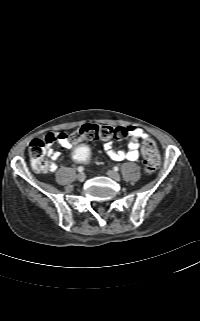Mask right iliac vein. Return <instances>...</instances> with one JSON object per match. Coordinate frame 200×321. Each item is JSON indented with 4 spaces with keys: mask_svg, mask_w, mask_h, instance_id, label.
Listing matches in <instances>:
<instances>
[{
    "mask_svg": "<svg viewBox=\"0 0 200 321\" xmlns=\"http://www.w3.org/2000/svg\"><path fill=\"white\" fill-rule=\"evenodd\" d=\"M77 179L80 181V182H83L85 180V174L84 173H79L77 175Z\"/></svg>",
    "mask_w": 200,
    "mask_h": 321,
    "instance_id": "63e3f726",
    "label": "right iliac vein"
}]
</instances>
